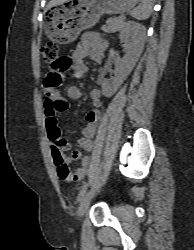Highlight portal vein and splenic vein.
<instances>
[{"label":"portal vein and splenic vein","mask_w":194,"mask_h":250,"mask_svg":"<svg viewBox=\"0 0 194 250\" xmlns=\"http://www.w3.org/2000/svg\"><path fill=\"white\" fill-rule=\"evenodd\" d=\"M122 20H124V17H120Z\"/></svg>","instance_id":"18ae733b"}]
</instances>
